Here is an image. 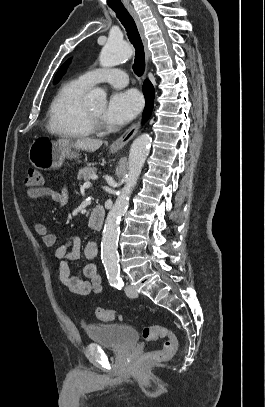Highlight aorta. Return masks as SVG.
<instances>
[{
  "mask_svg": "<svg viewBox=\"0 0 265 407\" xmlns=\"http://www.w3.org/2000/svg\"><path fill=\"white\" fill-rule=\"evenodd\" d=\"M132 56V47L122 39L110 38L102 48L99 61L102 67L118 65ZM106 101V93L95 89L85 97V103L89 105L103 104ZM152 139L149 134L137 137L130 148L128 159V173L125 186L120 191L115 204L109 211L102 235L101 259L109 276L119 273L117 241L119 236V223L121 216L126 212L129 205V197L135 187L145 160L149 154Z\"/></svg>",
  "mask_w": 265,
  "mask_h": 407,
  "instance_id": "762f6f07",
  "label": "aorta"
}]
</instances>
